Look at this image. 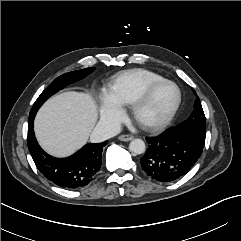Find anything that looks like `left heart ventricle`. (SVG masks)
I'll return each instance as SVG.
<instances>
[{
    "label": "left heart ventricle",
    "mask_w": 241,
    "mask_h": 241,
    "mask_svg": "<svg viewBox=\"0 0 241 241\" xmlns=\"http://www.w3.org/2000/svg\"><path fill=\"white\" fill-rule=\"evenodd\" d=\"M176 99L177 90L173 85L160 86L141 109L140 118L146 122H158L164 119L173 108Z\"/></svg>",
    "instance_id": "b2bd125f"
}]
</instances>
